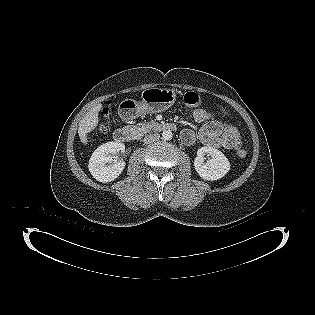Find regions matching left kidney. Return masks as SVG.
<instances>
[{
	"label": "left kidney",
	"mask_w": 315,
	"mask_h": 315,
	"mask_svg": "<svg viewBox=\"0 0 315 315\" xmlns=\"http://www.w3.org/2000/svg\"><path fill=\"white\" fill-rule=\"evenodd\" d=\"M210 158L205 161V155ZM195 170L199 176L208 181H215L224 177L230 170V162L226 156L216 148L204 146L198 149L194 161Z\"/></svg>",
	"instance_id": "left-kidney-1"
}]
</instances>
